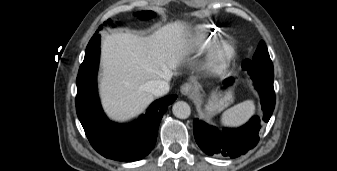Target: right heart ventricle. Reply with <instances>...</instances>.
<instances>
[{"instance_id": "obj_1", "label": "right heart ventricle", "mask_w": 337, "mask_h": 171, "mask_svg": "<svg viewBox=\"0 0 337 171\" xmlns=\"http://www.w3.org/2000/svg\"><path fill=\"white\" fill-rule=\"evenodd\" d=\"M216 31L217 29L211 25H202L197 27L194 35L196 43L202 49H210L214 47L219 41Z\"/></svg>"}]
</instances>
